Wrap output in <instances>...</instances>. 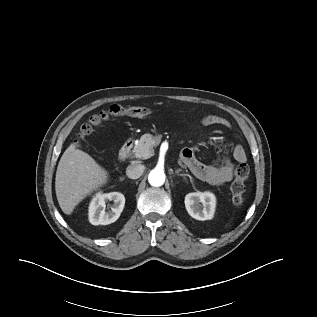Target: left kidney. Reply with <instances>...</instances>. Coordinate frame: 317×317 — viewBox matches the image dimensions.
<instances>
[{
    "mask_svg": "<svg viewBox=\"0 0 317 317\" xmlns=\"http://www.w3.org/2000/svg\"><path fill=\"white\" fill-rule=\"evenodd\" d=\"M184 202L187 212L196 220L204 221L213 218L216 206V198L213 193H189Z\"/></svg>",
    "mask_w": 317,
    "mask_h": 317,
    "instance_id": "1",
    "label": "left kidney"
}]
</instances>
